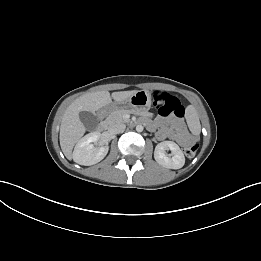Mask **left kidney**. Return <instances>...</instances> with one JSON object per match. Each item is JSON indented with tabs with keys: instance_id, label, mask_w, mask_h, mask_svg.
<instances>
[{
	"instance_id": "5707ae66",
	"label": "left kidney",
	"mask_w": 261,
	"mask_h": 261,
	"mask_svg": "<svg viewBox=\"0 0 261 261\" xmlns=\"http://www.w3.org/2000/svg\"><path fill=\"white\" fill-rule=\"evenodd\" d=\"M170 149L172 157L165 154ZM154 158L158 164L169 169H180L185 164V157L179 146L173 141H163L155 147Z\"/></svg>"
}]
</instances>
